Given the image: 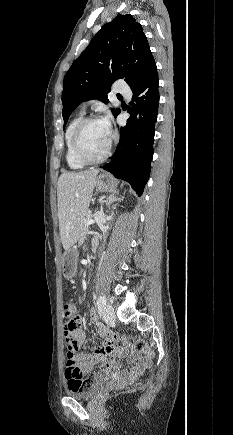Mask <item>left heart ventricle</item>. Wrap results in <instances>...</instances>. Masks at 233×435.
<instances>
[{
    "mask_svg": "<svg viewBox=\"0 0 233 435\" xmlns=\"http://www.w3.org/2000/svg\"><path fill=\"white\" fill-rule=\"evenodd\" d=\"M110 138L111 133L102 121L90 123L82 134L83 144L87 152L93 157H98L105 152Z\"/></svg>",
    "mask_w": 233,
    "mask_h": 435,
    "instance_id": "left-heart-ventricle-1",
    "label": "left heart ventricle"
}]
</instances>
